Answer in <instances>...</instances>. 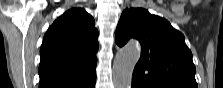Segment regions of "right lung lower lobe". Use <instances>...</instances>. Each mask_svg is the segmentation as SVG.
I'll return each instance as SVG.
<instances>
[{"label":"right lung lower lobe","mask_w":223,"mask_h":88,"mask_svg":"<svg viewBox=\"0 0 223 88\" xmlns=\"http://www.w3.org/2000/svg\"><path fill=\"white\" fill-rule=\"evenodd\" d=\"M94 87H95V81L90 86H88L87 88H94Z\"/></svg>","instance_id":"98d812e1"}]
</instances>
